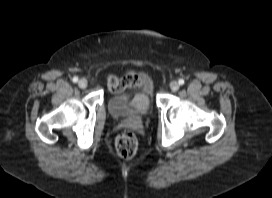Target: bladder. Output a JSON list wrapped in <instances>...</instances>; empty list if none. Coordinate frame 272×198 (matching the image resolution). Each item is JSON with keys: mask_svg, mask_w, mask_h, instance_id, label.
Returning a JSON list of instances; mask_svg holds the SVG:
<instances>
[{"mask_svg": "<svg viewBox=\"0 0 272 198\" xmlns=\"http://www.w3.org/2000/svg\"><path fill=\"white\" fill-rule=\"evenodd\" d=\"M152 88L146 86L142 92L128 97L124 94H114L107 102L108 111L116 119L148 116L152 106Z\"/></svg>", "mask_w": 272, "mask_h": 198, "instance_id": "bladder-1", "label": "bladder"}]
</instances>
